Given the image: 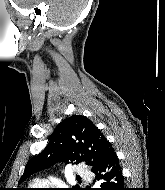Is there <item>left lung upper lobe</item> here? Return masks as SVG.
<instances>
[{"instance_id":"left-lung-upper-lobe-1","label":"left lung upper lobe","mask_w":165,"mask_h":190,"mask_svg":"<svg viewBox=\"0 0 165 190\" xmlns=\"http://www.w3.org/2000/svg\"><path fill=\"white\" fill-rule=\"evenodd\" d=\"M113 153L109 141L93 122L82 115L72 116L57 126L45 149L27 163L19 184L33 173L58 162H85L94 169Z\"/></svg>"}]
</instances>
